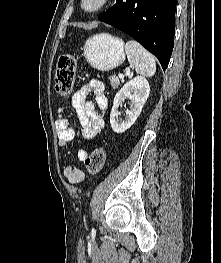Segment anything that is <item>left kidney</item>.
I'll return each mask as SVG.
<instances>
[{"instance_id":"left-kidney-1","label":"left kidney","mask_w":221,"mask_h":263,"mask_svg":"<svg viewBox=\"0 0 221 263\" xmlns=\"http://www.w3.org/2000/svg\"><path fill=\"white\" fill-rule=\"evenodd\" d=\"M150 93V86L146 78L137 76L127 82L116 94L110 114V124L115 133H123L129 129L140 115ZM131 100L130 110L126 111L123 121L117 119L118 107L126 99Z\"/></svg>"}]
</instances>
